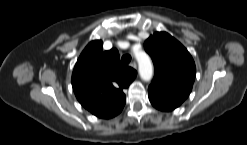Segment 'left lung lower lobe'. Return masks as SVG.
I'll return each mask as SVG.
<instances>
[{
	"label": "left lung lower lobe",
	"mask_w": 247,
	"mask_h": 145,
	"mask_svg": "<svg viewBox=\"0 0 247 145\" xmlns=\"http://www.w3.org/2000/svg\"><path fill=\"white\" fill-rule=\"evenodd\" d=\"M148 93L151 104L161 111H172L184 101L182 98L152 87L148 88Z\"/></svg>",
	"instance_id": "1"
}]
</instances>
